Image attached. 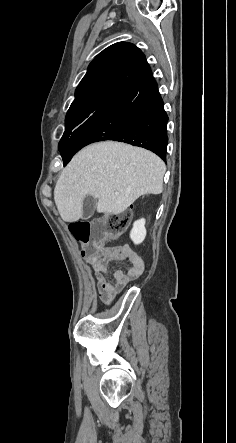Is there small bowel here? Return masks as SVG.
<instances>
[{"label":"small bowel","instance_id":"c3829d8e","mask_svg":"<svg viewBox=\"0 0 236 443\" xmlns=\"http://www.w3.org/2000/svg\"><path fill=\"white\" fill-rule=\"evenodd\" d=\"M122 260L127 261L130 267L126 271L115 270L113 283L108 279L110 263ZM91 265L94 270L97 291L103 302H110L116 295L122 293L144 271L143 259L126 245L102 247L99 256L91 260Z\"/></svg>","mask_w":236,"mask_h":443}]
</instances>
